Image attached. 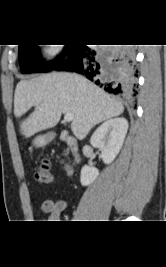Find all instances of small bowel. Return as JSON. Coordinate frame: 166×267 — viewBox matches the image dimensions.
Segmentation results:
<instances>
[{"mask_svg":"<svg viewBox=\"0 0 166 267\" xmlns=\"http://www.w3.org/2000/svg\"><path fill=\"white\" fill-rule=\"evenodd\" d=\"M66 206L67 203L64 199H46L41 204V210L43 213L49 215V219L52 222H56L60 219V215L65 210Z\"/></svg>","mask_w":166,"mask_h":267,"instance_id":"1","label":"small bowel"}]
</instances>
